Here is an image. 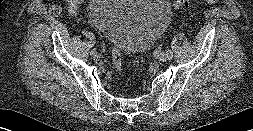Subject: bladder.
<instances>
[{"label": "bladder", "instance_id": "1", "mask_svg": "<svg viewBox=\"0 0 253 131\" xmlns=\"http://www.w3.org/2000/svg\"><path fill=\"white\" fill-rule=\"evenodd\" d=\"M89 10L111 44L128 54L151 45L171 16L168 0H91Z\"/></svg>", "mask_w": 253, "mask_h": 131}]
</instances>
